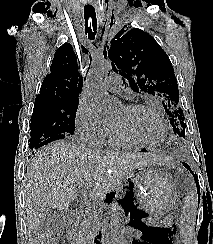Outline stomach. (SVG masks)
<instances>
[{
    "label": "stomach",
    "mask_w": 213,
    "mask_h": 244,
    "mask_svg": "<svg viewBox=\"0 0 213 244\" xmlns=\"http://www.w3.org/2000/svg\"><path fill=\"white\" fill-rule=\"evenodd\" d=\"M127 182L151 217L167 215L178 203L176 183L157 166L134 170L127 176Z\"/></svg>",
    "instance_id": "obj_1"
}]
</instances>
